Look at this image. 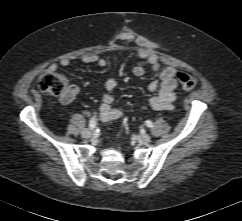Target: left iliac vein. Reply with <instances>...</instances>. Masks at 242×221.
Here are the masks:
<instances>
[{"label": "left iliac vein", "mask_w": 242, "mask_h": 221, "mask_svg": "<svg viewBox=\"0 0 242 221\" xmlns=\"http://www.w3.org/2000/svg\"><path fill=\"white\" fill-rule=\"evenodd\" d=\"M137 140L141 144H148L151 141V137L148 134H140L137 136Z\"/></svg>", "instance_id": "obj_1"}]
</instances>
